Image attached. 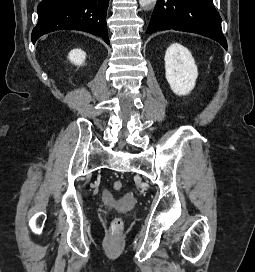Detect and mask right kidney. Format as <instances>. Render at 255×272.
I'll return each mask as SVG.
<instances>
[{"label": "right kidney", "instance_id": "1", "mask_svg": "<svg viewBox=\"0 0 255 272\" xmlns=\"http://www.w3.org/2000/svg\"><path fill=\"white\" fill-rule=\"evenodd\" d=\"M68 58L71 61V63L80 66L85 61L86 53L82 51L81 49H73L69 53Z\"/></svg>", "mask_w": 255, "mask_h": 272}]
</instances>
